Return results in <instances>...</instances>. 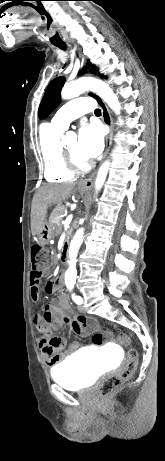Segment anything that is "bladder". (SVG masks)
I'll return each mask as SVG.
<instances>
[{
	"label": "bladder",
	"instance_id": "1",
	"mask_svg": "<svg viewBox=\"0 0 165 461\" xmlns=\"http://www.w3.org/2000/svg\"><path fill=\"white\" fill-rule=\"evenodd\" d=\"M106 370L104 360L96 352H79L51 370L55 382L69 390H83L91 387Z\"/></svg>",
	"mask_w": 165,
	"mask_h": 461
}]
</instances>
